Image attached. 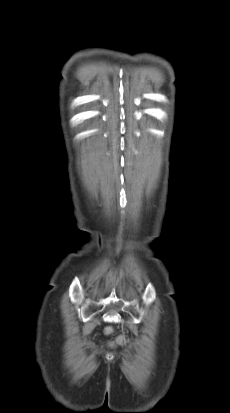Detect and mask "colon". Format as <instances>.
Instances as JSON below:
<instances>
[{
	"label": "colon",
	"instance_id": "5ec220e1",
	"mask_svg": "<svg viewBox=\"0 0 230 413\" xmlns=\"http://www.w3.org/2000/svg\"><path fill=\"white\" fill-rule=\"evenodd\" d=\"M107 332H110V329H108ZM119 341H120V342H124V341H125L124 337H120V338H119Z\"/></svg>",
	"mask_w": 230,
	"mask_h": 413
}]
</instances>
